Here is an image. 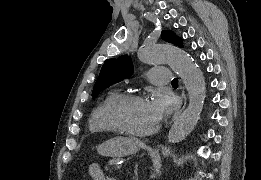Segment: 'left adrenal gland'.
Instances as JSON below:
<instances>
[{
    "mask_svg": "<svg viewBox=\"0 0 261 180\" xmlns=\"http://www.w3.org/2000/svg\"><path fill=\"white\" fill-rule=\"evenodd\" d=\"M134 174H135V180H138V164H135Z\"/></svg>",
    "mask_w": 261,
    "mask_h": 180,
    "instance_id": "1",
    "label": "left adrenal gland"
}]
</instances>
